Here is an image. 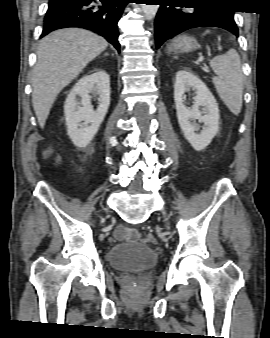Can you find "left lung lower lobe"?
<instances>
[{"label":"left lung lower lobe","instance_id":"1","mask_svg":"<svg viewBox=\"0 0 270 338\" xmlns=\"http://www.w3.org/2000/svg\"><path fill=\"white\" fill-rule=\"evenodd\" d=\"M160 8L155 19L156 48L177 34L191 28L213 26L226 29L238 36L234 10L225 0H153ZM187 5H195L193 9ZM180 7V8H177Z\"/></svg>","mask_w":270,"mask_h":338}]
</instances>
